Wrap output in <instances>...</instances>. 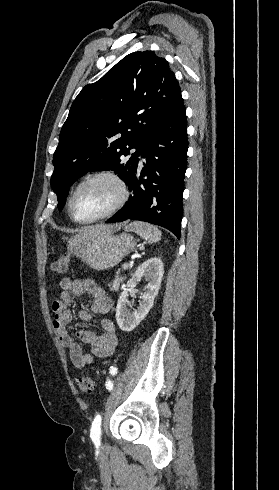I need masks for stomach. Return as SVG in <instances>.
<instances>
[{"instance_id": "obj_1", "label": "stomach", "mask_w": 279, "mask_h": 490, "mask_svg": "<svg viewBox=\"0 0 279 490\" xmlns=\"http://www.w3.org/2000/svg\"><path fill=\"white\" fill-rule=\"evenodd\" d=\"M136 240L130 234H105L92 240H85L82 244L70 238L67 244L68 254L80 258L92 270L104 272L117 266L124 256L135 250Z\"/></svg>"}]
</instances>
